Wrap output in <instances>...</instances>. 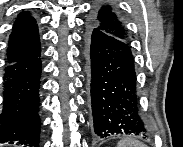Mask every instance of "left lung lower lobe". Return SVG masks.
Returning <instances> with one entry per match:
<instances>
[{
  "label": "left lung lower lobe",
  "mask_w": 183,
  "mask_h": 147,
  "mask_svg": "<svg viewBox=\"0 0 183 147\" xmlns=\"http://www.w3.org/2000/svg\"><path fill=\"white\" fill-rule=\"evenodd\" d=\"M85 56L95 134L147 136L150 131L139 114L134 60L127 42L90 27Z\"/></svg>",
  "instance_id": "0a47b994"
}]
</instances>
